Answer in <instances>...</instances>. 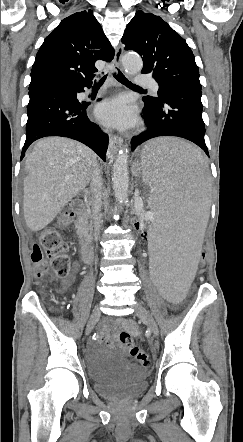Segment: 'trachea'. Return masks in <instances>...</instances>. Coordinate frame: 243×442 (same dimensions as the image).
<instances>
[{
    "label": "trachea",
    "instance_id": "3493384b",
    "mask_svg": "<svg viewBox=\"0 0 243 442\" xmlns=\"http://www.w3.org/2000/svg\"><path fill=\"white\" fill-rule=\"evenodd\" d=\"M107 75H104L100 80H98L95 84L96 85H102L105 80H106ZM114 77L122 84H124L125 86L128 87H133V88H139L142 89L141 87L133 84L132 82H130L123 74L122 72L117 69V73H114Z\"/></svg>",
    "mask_w": 243,
    "mask_h": 442
}]
</instances>
